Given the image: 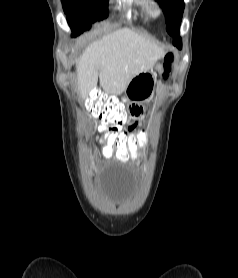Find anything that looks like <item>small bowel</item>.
<instances>
[{
  "instance_id": "obj_1",
  "label": "small bowel",
  "mask_w": 238,
  "mask_h": 278,
  "mask_svg": "<svg viewBox=\"0 0 238 278\" xmlns=\"http://www.w3.org/2000/svg\"><path fill=\"white\" fill-rule=\"evenodd\" d=\"M143 112V108L140 106H134L131 109V113L134 117H138ZM138 125V120H135L126 131H128V136H120V137H136V134H134V130ZM102 141V140H100Z\"/></svg>"
}]
</instances>
